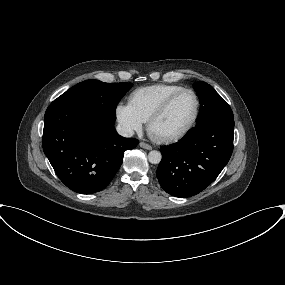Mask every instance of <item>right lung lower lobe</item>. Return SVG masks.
Returning <instances> with one entry per match:
<instances>
[{
	"mask_svg": "<svg viewBox=\"0 0 285 285\" xmlns=\"http://www.w3.org/2000/svg\"><path fill=\"white\" fill-rule=\"evenodd\" d=\"M115 120L75 103L54 100L46 110L42 146L56 175L71 190L104 189L138 140L124 138Z\"/></svg>",
	"mask_w": 285,
	"mask_h": 285,
	"instance_id": "obj_1",
	"label": "right lung lower lobe"
}]
</instances>
